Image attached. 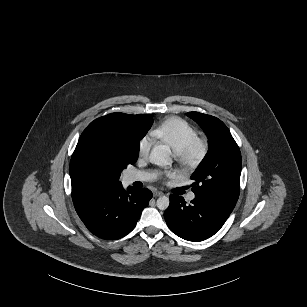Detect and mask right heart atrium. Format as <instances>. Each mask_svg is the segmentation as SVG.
<instances>
[{
    "instance_id": "d8ad5b80",
    "label": "right heart atrium",
    "mask_w": 307,
    "mask_h": 307,
    "mask_svg": "<svg viewBox=\"0 0 307 307\" xmlns=\"http://www.w3.org/2000/svg\"><path fill=\"white\" fill-rule=\"evenodd\" d=\"M154 145L155 142L152 137H143L138 146V156L145 158Z\"/></svg>"
}]
</instances>
